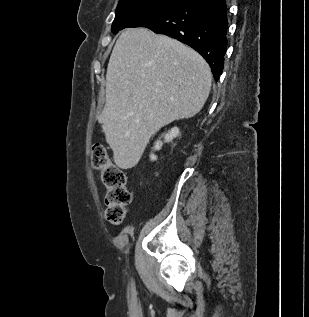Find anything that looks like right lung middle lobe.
Masks as SVG:
<instances>
[{
	"mask_svg": "<svg viewBox=\"0 0 309 317\" xmlns=\"http://www.w3.org/2000/svg\"><path fill=\"white\" fill-rule=\"evenodd\" d=\"M180 1L181 0H120L111 31L116 34L138 17Z\"/></svg>",
	"mask_w": 309,
	"mask_h": 317,
	"instance_id": "dd1d6c3e",
	"label": "right lung middle lobe"
}]
</instances>
